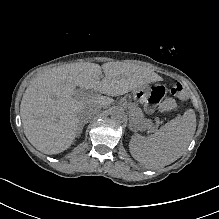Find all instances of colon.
I'll return each instance as SVG.
<instances>
[{
	"instance_id": "obj_1",
	"label": "colon",
	"mask_w": 219,
	"mask_h": 219,
	"mask_svg": "<svg viewBox=\"0 0 219 219\" xmlns=\"http://www.w3.org/2000/svg\"><path fill=\"white\" fill-rule=\"evenodd\" d=\"M171 94L180 99V100H185L187 98V92L186 90L184 89V87L181 85V84H175L171 90H170ZM176 106V102L174 99L172 98H167L165 99L161 105H160V109L161 111H164V112H168V111H171L175 108Z\"/></svg>"
}]
</instances>
